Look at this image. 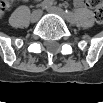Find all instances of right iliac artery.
Returning a JSON list of instances; mask_svg holds the SVG:
<instances>
[{"instance_id":"1","label":"right iliac artery","mask_w":103,"mask_h":103,"mask_svg":"<svg viewBox=\"0 0 103 103\" xmlns=\"http://www.w3.org/2000/svg\"><path fill=\"white\" fill-rule=\"evenodd\" d=\"M53 4V2L51 0H44L39 7H41L42 9H46L48 7H51Z\"/></svg>"}]
</instances>
